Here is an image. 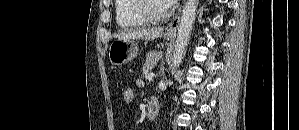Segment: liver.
<instances>
[{
	"instance_id": "liver-1",
	"label": "liver",
	"mask_w": 299,
	"mask_h": 130,
	"mask_svg": "<svg viewBox=\"0 0 299 130\" xmlns=\"http://www.w3.org/2000/svg\"><path fill=\"white\" fill-rule=\"evenodd\" d=\"M162 28L134 29L115 34L118 39L155 40L162 33Z\"/></svg>"
}]
</instances>
